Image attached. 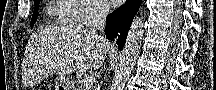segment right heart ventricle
<instances>
[{
	"instance_id": "e07e8e85",
	"label": "right heart ventricle",
	"mask_w": 216,
	"mask_h": 90,
	"mask_svg": "<svg viewBox=\"0 0 216 90\" xmlns=\"http://www.w3.org/2000/svg\"><path fill=\"white\" fill-rule=\"evenodd\" d=\"M79 11H85V7L70 2H54V6L46 7V19L50 28H84L80 21L74 22V16H79Z\"/></svg>"
}]
</instances>
